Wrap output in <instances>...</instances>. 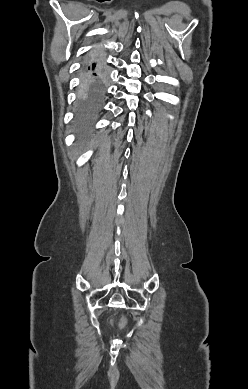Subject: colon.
<instances>
[{"instance_id": "colon-1", "label": "colon", "mask_w": 248, "mask_h": 389, "mask_svg": "<svg viewBox=\"0 0 248 389\" xmlns=\"http://www.w3.org/2000/svg\"><path fill=\"white\" fill-rule=\"evenodd\" d=\"M127 325H128V319H127L126 315H123L120 327H121V329H125L127 327Z\"/></svg>"}]
</instances>
